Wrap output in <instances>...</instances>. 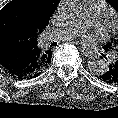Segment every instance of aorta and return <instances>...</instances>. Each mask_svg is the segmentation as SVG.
<instances>
[{"label":"aorta","instance_id":"762f6f07","mask_svg":"<svg viewBox=\"0 0 118 118\" xmlns=\"http://www.w3.org/2000/svg\"><path fill=\"white\" fill-rule=\"evenodd\" d=\"M82 5L80 0H63L60 5V13L64 18L74 19L80 15ZM89 71L95 75L103 74L108 68L104 60L94 58L88 62Z\"/></svg>","mask_w":118,"mask_h":118}]
</instances>
